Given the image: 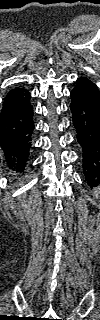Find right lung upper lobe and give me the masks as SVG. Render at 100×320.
Masks as SVG:
<instances>
[{
    "instance_id": "cb5924a9",
    "label": "right lung upper lobe",
    "mask_w": 100,
    "mask_h": 320,
    "mask_svg": "<svg viewBox=\"0 0 100 320\" xmlns=\"http://www.w3.org/2000/svg\"><path fill=\"white\" fill-rule=\"evenodd\" d=\"M21 90H22V88L16 87L15 89L10 90L7 95L16 94V93H18V92L21 91Z\"/></svg>"
}]
</instances>
